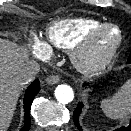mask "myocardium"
<instances>
[{"label":"myocardium","mask_w":131,"mask_h":131,"mask_svg":"<svg viewBox=\"0 0 131 131\" xmlns=\"http://www.w3.org/2000/svg\"><path fill=\"white\" fill-rule=\"evenodd\" d=\"M108 29H115L118 33L117 40L112 48L104 55L95 57L92 52L99 36ZM123 43L122 29L114 23H103L91 30L81 41L71 49V61L82 73L93 74L107 68L115 59Z\"/></svg>","instance_id":"obj_1"}]
</instances>
